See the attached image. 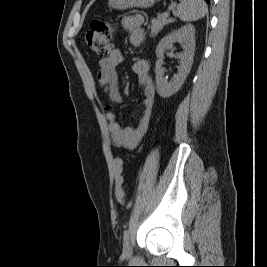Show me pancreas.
<instances>
[{"instance_id": "pancreas-1", "label": "pancreas", "mask_w": 267, "mask_h": 267, "mask_svg": "<svg viewBox=\"0 0 267 267\" xmlns=\"http://www.w3.org/2000/svg\"><path fill=\"white\" fill-rule=\"evenodd\" d=\"M175 19H168L163 15L158 16L156 19L151 20V25L148 26V29H151L150 37H155L165 25L173 23Z\"/></svg>"}]
</instances>
